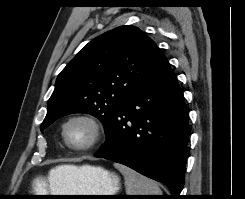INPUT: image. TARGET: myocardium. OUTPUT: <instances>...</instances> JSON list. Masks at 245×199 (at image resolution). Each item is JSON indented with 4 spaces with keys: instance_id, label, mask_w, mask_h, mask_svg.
I'll return each mask as SVG.
<instances>
[{
    "instance_id": "myocardium-1",
    "label": "myocardium",
    "mask_w": 245,
    "mask_h": 199,
    "mask_svg": "<svg viewBox=\"0 0 245 199\" xmlns=\"http://www.w3.org/2000/svg\"><path fill=\"white\" fill-rule=\"evenodd\" d=\"M76 120H81V121H85L87 122L93 131V136L92 139L85 145L82 146H75L73 144L70 143V141L68 140L67 137V128L70 125V123H72L73 121ZM104 136V129L103 126L101 124V122L94 117L91 114L88 113H75L70 115L63 123L62 125V137H63V141L65 143V145L73 150V151H77V152H87L90 151L92 149H94L103 139Z\"/></svg>"
}]
</instances>
